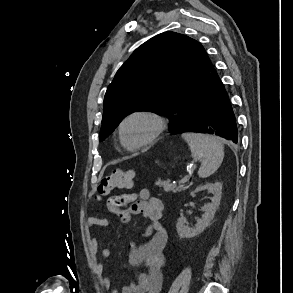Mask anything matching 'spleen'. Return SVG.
<instances>
[{"label":"spleen","instance_id":"1","mask_svg":"<svg viewBox=\"0 0 293 293\" xmlns=\"http://www.w3.org/2000/svg\"><path fill=\"white\" fill-rule=\"evenodd\" d=\"M182 138L190 147L192 157L201 162L198 175L206 178L213 174L224 158V146L215 136L201 133H183Z\"/></svg>","mask_w":293,"mask_h":293}]
</instances>
